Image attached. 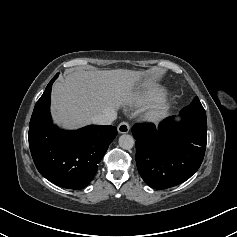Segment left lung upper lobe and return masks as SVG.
<instances>
[{
    "label": "left lung upper lobe",
    "instance_id": "1",
    "mask_svg": "<svg viewBox=\"0 0 237 237\" xmlns=\"http://www.w3.org/2000/svg\"><path fill=\"white\" fill-rule=\"evenodd\" d=\"M181 115L185 118H192L200 121H207L205 110L200 103L198 97L180 111Z\"/></svg>",
    "mask_w": 237,
    "mask_h": 237
}]
</instances>
